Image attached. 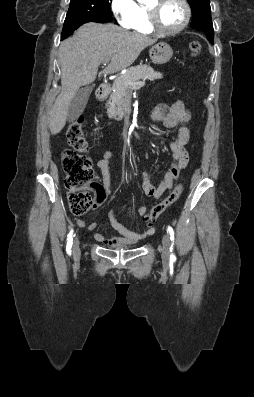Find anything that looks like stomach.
<instances>
[{"mask_svg": "<svg viewBox=\"0 0 254 397\" xmlns=\"http://www.w3.org/2000/svg\"><path fill=\"white\" fill-rule=\"evenodd\" d=\"M149 55L153 63L161 65L167 63L171 59L173 51L167 43L159 42L152 45L149 50Z\"/></svg>", "mask_w": 254, "mask_h": 397, "instance_id": "1", "label": "stomach"}]
</instances>
